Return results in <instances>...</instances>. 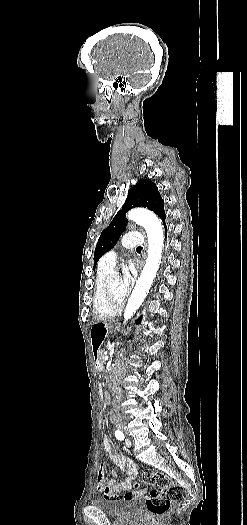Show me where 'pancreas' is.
Here are the masks:
<instances>
[{
    "instance_id": "cf45deb5",
    "label": "pancreas",
    "mask_w": 247,
    "mask_h": 525,
    "mask_svg": "<svg viewBox=\"0 0 247 525\" xmlns=\"http://www.w3.org/2000/svg\"><path fill=\"white\" fill-rule=\"evenodd\" d=\"M103 353H106V350L98 349V360H104Z\"/></svg>"
}]
</instances>
